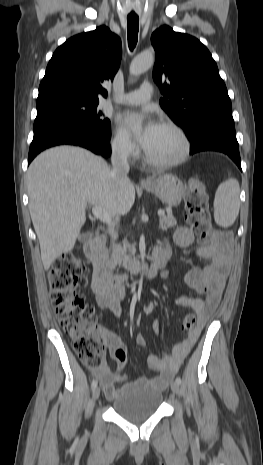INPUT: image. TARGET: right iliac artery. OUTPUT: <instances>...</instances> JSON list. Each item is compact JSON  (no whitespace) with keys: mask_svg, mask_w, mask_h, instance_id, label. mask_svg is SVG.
Masks as SVG:
<instances>
[{"mask_svg":"<svg viewBox=\"0 0 263 465\" xmlns=\"http://www.w3.org/2000/svg\"><path fill=\"white\" fill-rule=\"evenodd\" d=\"M97 387V380H93L91 383V388L95 389Z\"/></svg>","mask_w":263,"mask_h":465,"instance_id":"right-iliac-artery-1","label":"right iliac artery"}]
</instances>
